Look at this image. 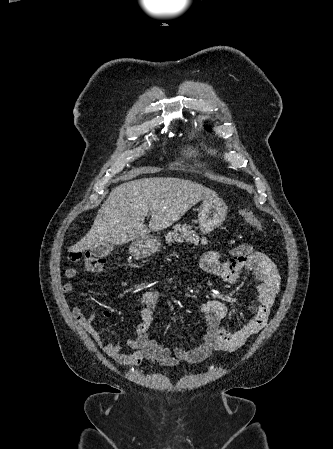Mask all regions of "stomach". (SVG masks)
<instances>
[{
    "label": "stomach",
    "mask_w": 333,
    "mask_h": 449,
    "mask_svg": "<svg viewBox=\"0 0 333 449\" xmlns=\"http://www.w3.org/2000/svg\"><path fill=\"white\" fill-rule=\"evenodd\" d=\"M227 213L228 206L223 200L218 197L204 199L198 216L201 232L206 234L219 227L225 220ZM159 248V240L154 237H148L140 238L133 242L129 250L133 256L143 258L156 253Z\"/></svg>",
    "instance_id": "obj_1"
}]
</instances>
